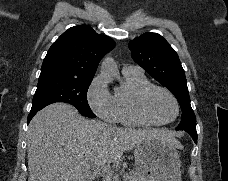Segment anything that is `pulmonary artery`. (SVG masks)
Listing matches in <instances>:
<instances>
[{
	"instance_id": "obj_1",
	"label": "pulmonary artery",
	"mask_w": 228,
	"mask_h": 181,
	"mask_svg": "<svg viewBox=\"0 0 228 181\" xmlns=\"http://www.w3.org/2000/svg\"><path fill=\"white\" fill-rule=\"evenodd\" d=\"M133 68H135V67H133ZM130 74L131 75H141L142 74V71L141 70H131L130 71Z\"/></svg>"
}]
</instances>
